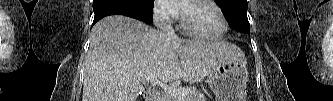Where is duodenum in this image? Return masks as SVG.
I'll use <instances>...</instances> for the list:
<instances>
[{
  "instance_id": "410a0bca",
  "label": "duodenum",
  "mask_w": 333,
  "mask_h": 101,
  "mask_svg": "<svg viewBox=\"0 0 333 101\" xmlns=\"http://www.w3.org/2000/svg\"><path fill=\"white\" fill-rule=\"evenodd\" d=\"M145 101H161L160 95L154 90H148L144 94Z\"/></svg>"
}]
</instances>
